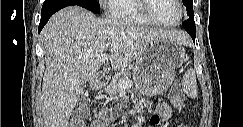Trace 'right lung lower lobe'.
<instances>
[{
	"label": "right lung lower lobe",
	"instance_id": "right-lung-lower-lobe-1",
	"mask_svg": "<svg viewBox=\"0 0 243 127\" xmlns=\"http://www.w3.org/2000/svg\"><path fill=\"white\" fill-rule=\"evenodd\" d=\"M72 4H61V5H56L50 8H46V9H42L41 11V20H40V24H39V28L38 31L40 33V31L43 29L44 25L48 22L49 18L57 11H59L60 9L66 7V6H70Z\"/></svg>",
	"mask_w": 243,
	"mask_h": 127
}]
</instances>
